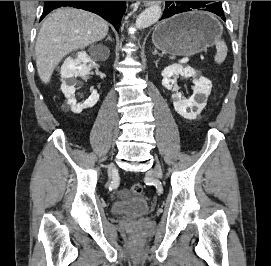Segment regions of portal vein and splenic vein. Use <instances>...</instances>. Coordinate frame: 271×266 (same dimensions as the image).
<instances>
[{
  "label": "portal vein and splenic vein",
  "mask_w": 271,
  "mask_h": 266,
  "mask_svg": "<svg viewBox=\"0 0 271 266\" xmlns=\"http://www.w3.org/2000/svg\"><path fill=\"white\" fill-rule=\"evenodd\" d=\"M189 61V57L182 58L179 62L180 63H187Z\"/></svg>",
  "instance_id": "1"
}]
</instances>
